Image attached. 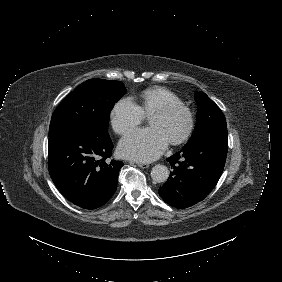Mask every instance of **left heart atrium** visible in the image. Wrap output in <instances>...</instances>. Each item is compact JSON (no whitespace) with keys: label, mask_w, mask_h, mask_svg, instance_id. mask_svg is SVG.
I'll list each match as a JSON object with an SVG mask.
<instances>
[{"label":"left heart atrium","mask_w":282,"mask_h":282,"mask_svg":"<svg viewBox=\"0 0 282 282\" xmlns=\"http://www.w3.org/2000/svg\"><path fill=\"white\" fill-rule=\"evenodd\" d=\"M168 138L155 126L129 131L120 141V153L136 161H152L166 149Z\"/></svg>","instance_id":"1"}]
</instances>
